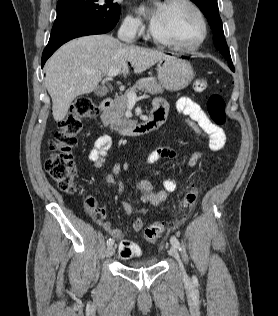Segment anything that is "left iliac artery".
<instances>
[{"mask_svg":"<svg viewBox=\"0 0 278 316\" xmlns=\"http://www.w3.org/2000/svg\"><path fill=\"white\" fill-rule=\"evenodd\" d=\"M170 242H171V244H172L174 247H176V248H178L179 250H181L180 242H179V240H178L175 236H172V237L170 238Z\"/></svg>","mask_w":278,"mask_h":316,"instance_id":"44dca946","label":"left iliac artery"}]
</instances>
